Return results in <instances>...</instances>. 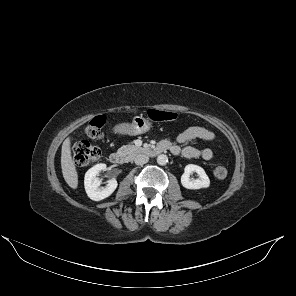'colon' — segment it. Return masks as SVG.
Listing matches in <instances>:
<instances>
[{
    "instance_id": "colon-1",
    "label": "colon",
    "mask_w": 296,
    "mask_h": 296,
    "mask_svg": "<svg viewBox=\"0 0 296 296\" xmlns=\"http://www.w3.org/2000/svg\"><path fill=\"white\" fill-rule=\"evenodd\" d=\"M148 117L153 121H173L177 118V114L172 111H164L157 109H150L148 111ZM105 119L103 116H98L91 120L84 129V134L93 139L101 138L102 128L104 126ZM72 156L74 163L78 166H86L96 163L100 158V149L92 146L86 141H78L73 145ZM214 175L217 178H224L227 175V168L222 165H216L214 169Z\"/></svg>"
}]
</instances>
